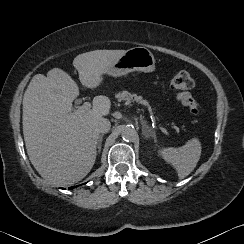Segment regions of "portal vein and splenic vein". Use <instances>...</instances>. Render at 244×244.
<instances>
[{"mask_svg":"<svg viewBox=\"0 0 244 244\" xmlns=\"http://www.w3.org/2000/svg\"><path fill=\"white\" fill-rule=\"evenodd\" d=\"M92 107L90 102H85L82 106L79 107L78 110H76L74 112L75 115H82L85 112H87L88 110H90V108ZM162 129V128H161Z\"/></svg>","mask_w":244,"mask_h":244,"instance_id":"portal-vein-and-splenic-vein-1","label":"portal vein and splenic vein"}]
</instances>
